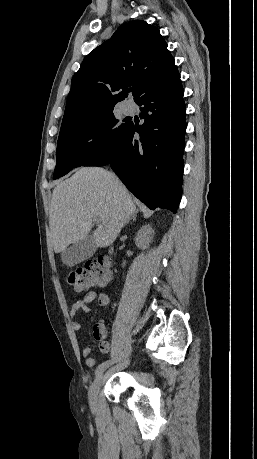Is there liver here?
Masks as SVG:
<instances>
[{
  "instance_id": "liver-1",
  "label": "liver",
  "mask_w": 257,
  "mask_h": 459,
  "mask_svg": "<svg viewBox=\"0 0 257 459\" xmlns=\"http://www.w3.org/2000/svg\"><path fill=\"white\" fill-rule=\"evenodd\" d=\"M137 212L122 182L100 167H82L53 190L49 216L51 243L61 253L88 236L93 218L100 224L93 233L97 247H107Z\"/></svg>"
}]
</instances>
